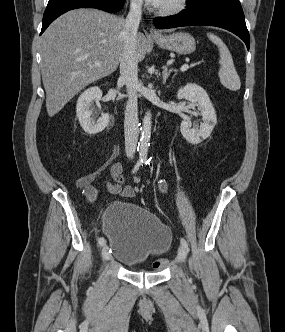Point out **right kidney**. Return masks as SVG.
<instances>
[{"instance_id":"ca27d5eb","label":"right kidney","mask_w":285,"mask_h":332,"mask_svg":"<svg viewBox=\"0 0 285 332\" xmlns=\"http://www.w3.org/2000/svg\"><path fill=\"white\" fill-rule=\"evenodd\" d=\"M102 97V91L99 87H91L85 90L77 100L76 115L79 119V123L82 129L91 135L97 134L103 131L109 123V115L102 114L101 117L96 120L97 114L93 113L91 109V102L93 100H100Z\"/></svg>"}]
</instances>
